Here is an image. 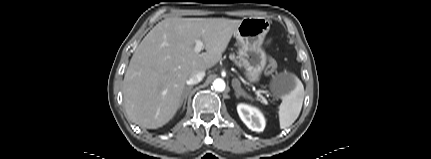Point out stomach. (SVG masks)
<instances>
[{
	"label": "stomach",
	"mask_w": 431,
	"mask_h": 159,
	"mask_svg": "<svg viewBox=\"0 0 431 159\" xmlns=\"http://www.w3.org/2000/svg\"><path fill=\"white\" fill-rule=\"evenodd\" d=\"M270 29V21L264 17L243 18L234 32L239 44L238 57L246 69L249 82L259 81L266 65L267 56L262 48L266 34ZM296 76L288 73L277 74L272 77L270 90L279 98H285L296 88Z\"/></svg>",
	"instance_id": "obj_1"
}]
</instances>
